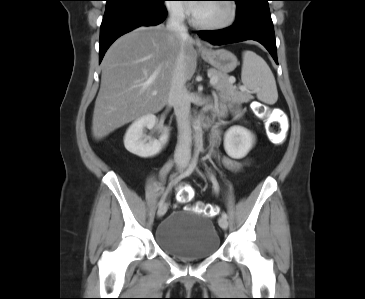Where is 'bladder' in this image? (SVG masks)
I'll use <instances>...</instances> for the list:
<instances>
[{
	"label": "bladder",
	"instance_id": "bladder-1",
	"mask_svg": "<svg viewBox=\"0 0 365 299\" xmlns=\"http://www.w3.org/2000/svg\"><path fill=\"white\" fill-rule=\"evenodd\" d=\"M154 240L166 253L185 260L206 258L220 247L214 222L184 209H175L156 227Z\"/></svg>",
	"mask_w": 365,
	"mask_h": 299
}]
</instances>
